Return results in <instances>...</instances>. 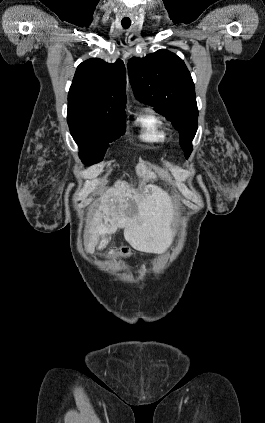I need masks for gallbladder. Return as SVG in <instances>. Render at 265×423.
Returning <instances> with one entry per match:
<instances>
[{"mask_svg":"<svg viewBox=\"0 0 265 423\" xmlns=\"http://www.w3.org/2000/svg\"><path fill=\"white\" fill-rule=\"evenodd\" d=\"M110 241V238H105L101 241L100 246L101 248L105 247Z\"/></svg>","mask_w":265,"mask_h":423,"instance_id":"bac80fb5","label":"gallbladder"}]
</instances>
